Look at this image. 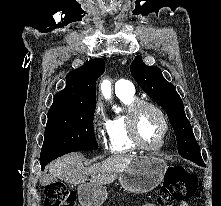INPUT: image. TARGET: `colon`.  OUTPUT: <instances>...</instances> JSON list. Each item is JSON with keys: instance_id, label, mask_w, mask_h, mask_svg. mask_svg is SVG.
Wrapping results in <instances>:
<instances>
[{"instance_id": "5ec220e1", "label": "colon", "mask_w": 221, "mask_h": 206, "mask_svg": "<svg viewBox=\"0 0 221 206\" xmlns=\"http://www.w3.org/2000/svg\"><path fill=\"white\" fill-rule=\"evenodd\" d=\"M198 177L182 166L167 170L164 186L161 188L157 206H170L174 201H183L198 195ZM76 193L61 182L47 186L44 206H75Z\"/></svg>"}]
</instances>
